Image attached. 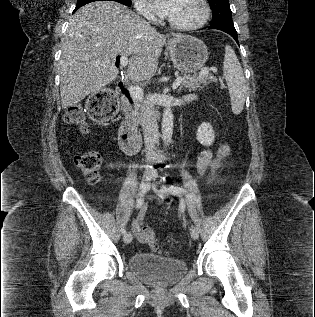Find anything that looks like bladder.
<instances>
[{
    "instance_id": "31cf9c89",
    "label": "bladder",
    "mask_w": 315,
    "mask_h": 317,
    "mask_svg": "<svg viewBox=\"0 0 315 317\" xmlns=\"http://www.w3.org/2000/svg\"><path fill=\"white\" fill-rule=\"evenodd\" d=\"M128 266L141 280L159 287L176 283L188 269L187 263L182 259L167 258L146 252L131 255Z\"/></svg>"
}]
</instances>
